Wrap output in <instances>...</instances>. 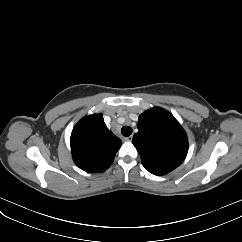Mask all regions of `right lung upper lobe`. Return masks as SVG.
<instances>
[{"label":"right lung upper lobe","instance_id":"1","mask_svg":"<svg viewBox=\"0 0 242 242\" xmlns=\"http://www.w3.org/2000/svg\"><path fill=\"white\" fill-rule=\"evenodd\" d=\"M70 143L75 164L90 173L108 169L122 145L106 127L101 114L81 119L72 131Z\"/></svg>","mask_w":242,"mask_h":242}]
</instances>
